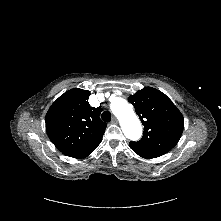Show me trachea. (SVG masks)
<instances>
[{
    "mask_svg": "<svg viewBox=\"0 0 221 221\" xmlns=\"http://www.w3.org/2000/svg\"><path fill=\"white\" fill-rule=\"evenodd\" d=\"M101 118L105 122H110L111 121V113L109 111H104L101 115Z\"/></svg>",
    "mask_w": 221,
    "mask_h": 221,
    "instance_id": "trachea-1",
    "label": "trachea"
}]
</instances>
